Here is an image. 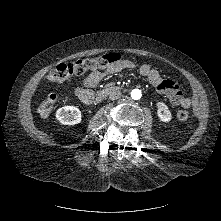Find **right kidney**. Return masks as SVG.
<instances>
[{
    "instance_id": "obj_1",
    "label": "right kidney",
    "mask_w": 221,
    "mask_h": 221,
    "mask_svg": "<svg viewBox=\"0 0 221 221\" xmlns=\"http://www.w3.org/2000/svg\"><path fill=\"white\" fill-rule=\"evenodd\" d=\"M69 111H71L72 117L68 116ZM56 118L63 125H75L81 122V112L77 107L64 106L57 110Z\"/></svg>"
}]
</instances>
